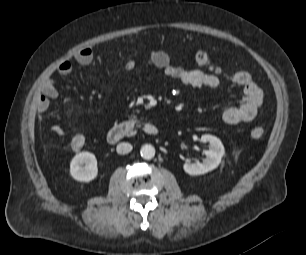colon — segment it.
I'll list each match as a JSON object with an SVG mask.
<instances>
[{
	"label": "colon",
	"mask_w": 306,
	"mask_h": 255,
	"mask_svg": "<svg viewBox=\"0 0 306 255\" xmlns=\"http://www.w3.org/2000/svg\"><path fill=\"white\" fill-rule=\"evenodd\" d=\"M265 130L262 126L260 125H256L254 127H252L251 129V137L254 139H260L264 136ZM85 145V138L83 135H76L72 138L71 142H70V148L73 151H79L81 150Z\"/></svg>",
	"instance_id": "5ec220e1"
}]
</instances>
